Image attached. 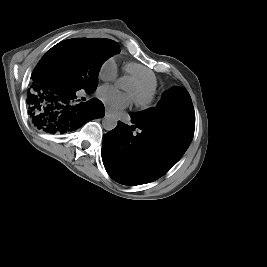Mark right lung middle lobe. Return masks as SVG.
<instances>
[{"label": "right lung middle lobe", "mask_w": 267, "mask_h": 267, "mask_svg": "<svg viewBox=\"0 0 267 267\" xmlns=\"http://www.w3.org/2000/svg\"><path fill=\"white\" fill-rule=\"evenodd\" d=\"M119 52V45L110 39H69L47 51L34 72L44 67L64 78L74 89L93 92L98 86L97 76L101 65Z\"/></svg>", "instance_id": "obj_1"}]
</instances>
